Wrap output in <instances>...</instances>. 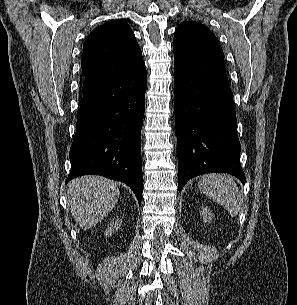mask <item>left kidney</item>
Wrapping results in <instances>:
<instances>
[{"instance_id": "obj_1", "label": "left kidney", "mask_w": 297, "mask_h": 305, "mask_svg": "<svg viewBox=\"0 0 297 305\" xmlns=\"http://www.w3.org/2000/svg\"><path fill=\"white\" fill-rule=\"evenodd\" d=\"M201 214L203 216V220L204 222H210L213 218H214V215L213 213L211 212V210H209L207 207H201Z\"/></svg>"}]
</instances>
